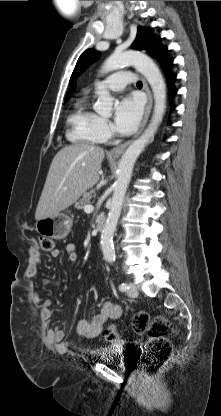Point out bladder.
Listing matches in <instances>:
<instances>
[{
	"label": "bladder",
	"mask_w": 221,
	"mask_h": 416,
	"mask_svg": "<svg viewBox=\"0 0 221 416\" xmlns=\"http://www.w3.org/2000/svg\"><path fill=\"white\" fill-rule=\"evenodd\" d=\"M113 356V352H112V350L109 348V347H107L106 348V351H105V353H104V362L105 363H112V360H111V357ZM124 367H125V365H124Z\"/></svg>",
	"instance_id": "1"
}]
</instances>
